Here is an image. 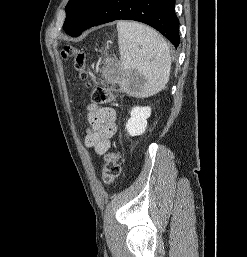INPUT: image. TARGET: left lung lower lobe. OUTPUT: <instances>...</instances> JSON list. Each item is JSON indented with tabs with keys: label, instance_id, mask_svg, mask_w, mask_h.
<instances>
[{
	"label": "left lung lower lobe",
	"instance_id": "obj_1",
	"mask_svg": "<svg viewBox=\"0 0 247 257\" xmlns=\"http://www.w3.org/2000/svg\"><path fill=\"white\" fill-rule=\"evenodd\" d=\"M175 0H98L77 32L119 19L146 23L162 33L177 47L180 43L179 20L174 12Z\"/></svg>",
	"mask_w": 247,
	"mask_h": 257
}]
</instances>
